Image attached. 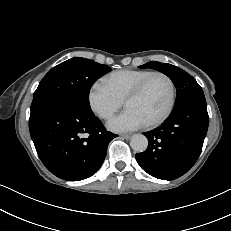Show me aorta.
<instances>
[{
    "label": "aorta",
    "instance_id": "obj_1",
    "mask_svg": "<svg viewBox=\"0 0 231 231\" xmlns=\"http://www.w3.org/2000/svg\"><path fill=\"white\" fill-rule=\"evenodd\" d=\"M130 146L135 152H144L148 147V139L143 134H135L131 138Z\"/></svg>",
    "mask_w": 231,
    "mask_h": 231
}]
</instances>
